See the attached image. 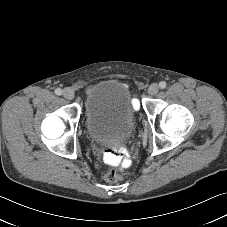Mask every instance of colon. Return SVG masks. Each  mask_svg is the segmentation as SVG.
<instances>
[{"instance_id":"obj_1","label":"colon","mask_w":227,"mask_h":227,"mask_svg":"<svg viewBox=\"0 0 227 227\" xmlns=\"http://www.w3.org/2000/svg\"><path fill=\"white\" fill-rule=\"evenodd\" d=\"M105 160L108 164L116 165L122 161V154L117 151H108L105 155ZM104 179L108 183H116L122 179V176L115 169H110L104 173Z\"/></svg>"}]
</instances>
